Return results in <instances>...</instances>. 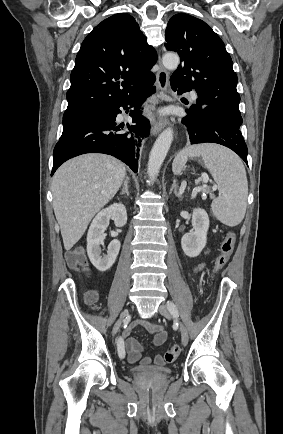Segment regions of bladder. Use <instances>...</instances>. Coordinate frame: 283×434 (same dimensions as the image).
Masks as SVG:
<instances>
[{"label": "bladder", "mask_w": 283, "mask_h": 434, "mask_svg": "<svg viewBox=\"0 0 283 434\" xmlns=\"http://www.w3.org/2000/svg\"><path fill=\"white\" fill-rule=\"evenodd\" d=\"M131 372L137 376L145 377H164L170 373L168 368H146V367H134Z\"/></svg>", "instance_id": "obj_1"}]
</instances>
